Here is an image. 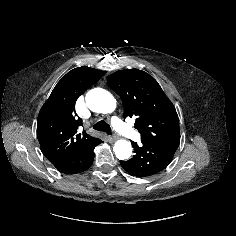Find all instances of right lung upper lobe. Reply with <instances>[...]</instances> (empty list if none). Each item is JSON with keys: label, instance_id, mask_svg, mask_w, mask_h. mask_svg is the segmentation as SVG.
Returning a JSON list of instances; mask_svg holds the SVG:
<instances>
[{"label": "right lung upper lobe", "instance_id": "right-lung-upper-lobe-1", "mask_svg": "<svg viewBox=\"0 0 236 236\" xmlns=\"http://www.w3.org/2000/svg\"><path fill=\"white\" fill-rule=\"evenodd\" d=\"M105 71L79 67L69 71L55 86L40 109L37 119V137L41 150L52 163L73 155L97 142L98 138L79 132L82 119L76 117L75 103Z\"/></svg>", "mask_w": 236, "mask_h": 236}]
</instances>
